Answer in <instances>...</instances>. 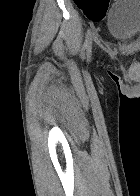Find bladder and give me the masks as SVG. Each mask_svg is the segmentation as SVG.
<instances>
[{"label": "bladder", "mask_w": 140, "mask_h": 196, "mask_svg": "<svg viewBox=\"0 0 140 196\" xmlns=\"http://www.w3.org/2000/svg\"><path fill=\"white\" fill-rule=\"evenodd\" d=\"M111 37L123 44H131L140 37V0H118L108 14Z\"/></svg>", "instance_id": "1"}]
</instances>
